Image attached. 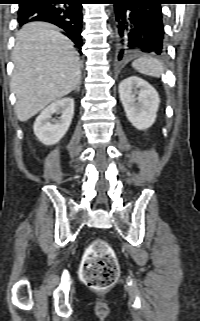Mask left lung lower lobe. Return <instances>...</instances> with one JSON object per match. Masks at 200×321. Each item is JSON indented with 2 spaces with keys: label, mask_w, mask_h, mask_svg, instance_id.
Listing matches in <instances>:
<instances>
[{
  "label": "left lung lower lobe",
  "mask_w": 200,
  "mask_h": 321,
  "mask_svg": "<svg viewBox=\"0 0 200 321\" xmlns=\"http://www.w3.org/2000/svg\"><path fill=\"white\" fill-rule=\"evenodd\" d=\"M117 22L119 59L127 52H164L161 4L165 0H112Z\"/></svg>",
  "instance_id": "left-lung-lower-lobe-1"
}]
</instances>
